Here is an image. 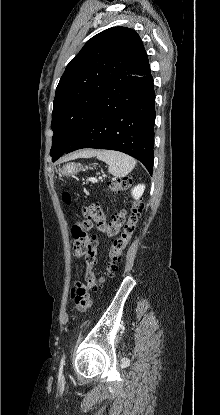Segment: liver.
<instances>
[{
  "label": "liver",
  "instance_id": "1",
  "mask_svg": "<svg viewBox=\"0 0 220 415\" xmlns=\"http://www.w3.org/2000/svg\"><path fill=\"white\" fill-rule=\"evenodd\" d=\"M95 153H96V151H84V152L80 153L79 155L86 156V157H91V156H94Z\"/></svg>",
  "mask_w": 220,
  "mask_h": 415
}]
</instances>
